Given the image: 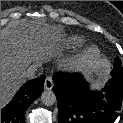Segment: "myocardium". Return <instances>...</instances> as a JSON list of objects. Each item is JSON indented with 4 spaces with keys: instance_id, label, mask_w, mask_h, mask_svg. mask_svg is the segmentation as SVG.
Masks as SVG:
<instances>
[{
    "instance_id": "f54148a6",
    "label": "myocardium",
    "mask_w": 123,
    "mask_h": 123,
    "mask_svg": "<svg viewBox=\"0 0 123 123\" xmlns=\"http://www.w3.org/2000/svg\"><path fill=\"white\" fill-rule=\"evenodd\" d=\"M99 55V50L96 47H89L70 61L69 68L75 72L83 71L91 66L99 58Z\"/></svg>"
}]
</instances>
